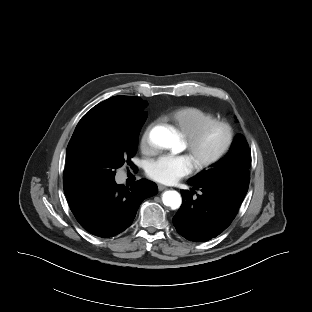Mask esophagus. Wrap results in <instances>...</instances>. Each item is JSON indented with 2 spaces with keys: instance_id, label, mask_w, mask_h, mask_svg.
Returning a JSON list of instances; mask_svg holds the SVG:
<instances>
[{
  "instance_id": "obj_1",
  "label": "esophagus",
  "mask_w": 312,
  "mask_h": 312,
  "mask_svg": "<svg viewBox=\"0 0 312 312\" xmlns=\"http://www.w3.org/2000/svg\"><path fill=\"white\" fill-rule=\"evenodd\" d=\"M166 189H167L166 186H164V185H162V184H158V190H159V191H163V190H166Z\"/></svg>"
}]
</instances>
